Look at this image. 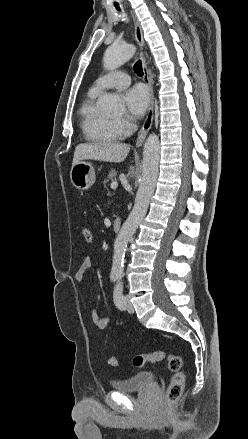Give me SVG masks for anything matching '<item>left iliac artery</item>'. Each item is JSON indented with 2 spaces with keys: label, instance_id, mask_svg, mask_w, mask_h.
<instances>
[{
  "label": "left iliac artery",
  "instance_id": "left-iliac-artery-1",
  "mask_svg": "<svg viewBox=\"0 0 248 439\" xmlns=\"http://www.w3.org/2000/svg\"><path fill=\"white\" fill-rule=\"evenodd\" d=\"M113 299H114L115 305L119 309H121V310L125 309V301H124V296H123V285L120 281L116 284V286L114 288Z\"/></svg>",
  "mask_w": 248,
  "mask_h": 439
}]
</instances>
